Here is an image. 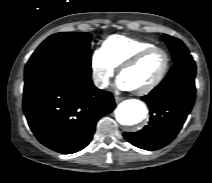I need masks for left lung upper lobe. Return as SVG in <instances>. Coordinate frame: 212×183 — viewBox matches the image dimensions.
<instances>
[{"mask_svg": "<svg viewBox=\"0 0 212 183\" xmlns=\"http://www.w3.org/2000/svg\"><path fill=\"white\" fill-rule=\"evenodd\" d=\"M162 39L167 43L168 47L170 48L174 62H176L182 56L189 54L187 47L181 40L169 36L167 34H164L162 36Z\"/></svg>", "mask_w": 212, "mask_h": 183, "instance_id": "5c2ea615", "label": "left lung upper lobe"}]
</instances>
